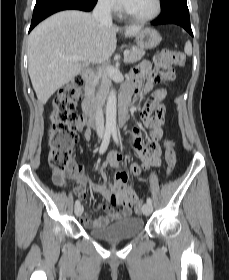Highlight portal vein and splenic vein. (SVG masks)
Masks as SVG:
<instances>
[{"label": "portal vein and splenic vein", "instance_id": "1", "mask_svg": "<svg viewBox=\"0 0 229 280\" xmlns=\"http://www.w3.org/2000/svg\"><path fill=\"white\" fill-rule=\"evenodd\" d=\"M129 54H130L129 50L124 51V60H126V58L129 56ZM61 58L64 60L72 61V62H77V61H80L83 59L80 56H62Z\"/></svg>", "mask_w": 229, "mask_h": 280}]
</instances>
